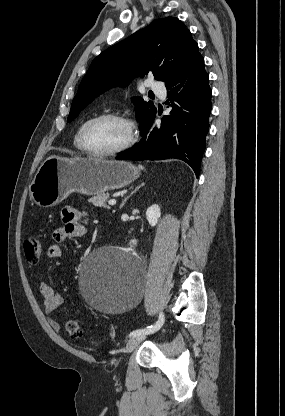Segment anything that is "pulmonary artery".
Returning a JSON list of instances; mask_svg holds the SVG:
<instances>
[{"label":"pulmonary artery","mask_w":285,"mask_h":416,"mask_svg":"<svg viewBox=\"0 0 285 416\" xmlns=\"http://www.w3.org/2000/svg\"><path fill=\"white\" fill-rule=\"evenodd\" d=\"M146 86L152 89L159 97L165 98L166 88L163 84L154 83L152 80H146Z\"/></svg>","instance_id":"obj_1"}]
</instances>
